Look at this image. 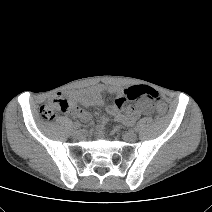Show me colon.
Segmentation results:
<instances>
[{"mask_svg":"<svg viewBox=\"0 0 212 212\" xmlns=\"http://www.w3.org/2000/svg\"><path fill=\"white\" fill-rule=\"evenodd\" d=\"M126 97L130 100H136L140 98H145L153 101L156 105V109L160 114H165L167 112V106L160 98L158 92L149 86H131L126 89ZM70 107L69 102L61 97H56L49 103L43 105L40 108V116L43 120H52L56 113L65 112Z\"/></svg>","mask_w":212,"mask_h":212,"instance_id":"1","label":"colon"}]
</instances>
